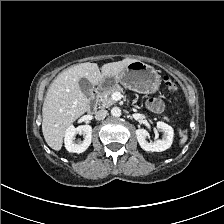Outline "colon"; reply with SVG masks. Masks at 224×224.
I'll return each mask as SVG.
<instances>
[{"instance_id": "5ec220e1", "label": "colon", "mask_w": 224, "mask_h": 224, "mask_svg": "<svg viewBox=\"0 0 224 224\" xmlns=\"http://www.w3.org/2000/svg\"><path fill=\"white\" fill-rule=\"evenodd\" d=\"M164 82L171 92L173 93L177 92V87L175 86V84L172 82V80L169 77L167 76L164 77Z\"/></svg>"}]
</instances>
